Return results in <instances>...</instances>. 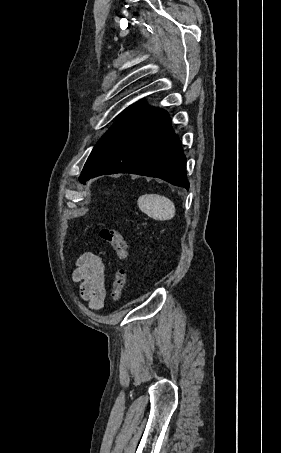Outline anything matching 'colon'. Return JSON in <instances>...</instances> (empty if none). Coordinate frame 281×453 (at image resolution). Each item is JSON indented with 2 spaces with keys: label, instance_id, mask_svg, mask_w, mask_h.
Masks as SVG:
<instances>
[{
  "label": "colon",
  "instance_id": "obj_1",
  "mask_svg": "<svg viewBox=\"0 0 281 453\" xmlns=\"http://www.w3.org/2000/svg\"><path fill=\"white\" fill-rule=\"evenodd\" d=\"M101 236L108 242L117 259L122 261L126 252V241L123 234L114 228H102ZM124 292V270L119 266L115 269L110 282V300L112 302H118L123 298Z\"/></svg>",
  "mask_w": 281,
  "mask_h": 453
}]
</instances>
